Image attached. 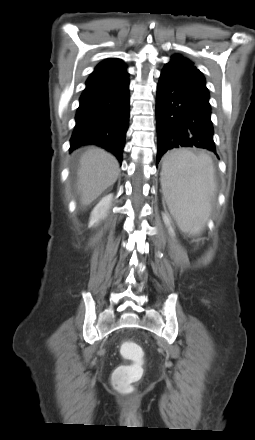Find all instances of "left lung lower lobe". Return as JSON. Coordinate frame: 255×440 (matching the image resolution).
<instances>
[{
  "mask_svg": "<svg viewBox=\"0 0 255 440\" xmlns=\"http://www.w3.org/2000/svg\"><path fill=\"white\" fill-rule=\"evenodd\" d=\"M156 98L157 163L169 150L199 147L213 151L209 94L164 67Z\"/></svg>",
  "mask_w": 255,
  "mask_h": 440,
  "instance_id": "1",
  "label": "left lung lower lobe"
}]
</instances>
